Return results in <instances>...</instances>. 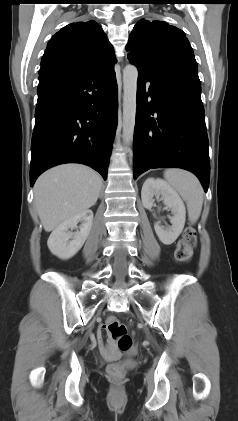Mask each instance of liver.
Wrapping results in <instances>:
<instances>
[{
	"mask_svg": "<svg viewBox=\"0 0 238 421\" xmlns=\"http://www.w3.org/2000/svg\"><path fill=\"white\" fill-rule=\"evenodd\" d=\"M102 187L101 177L80 164H64L44 172L34 186L35 206L45 231L93 206Z\"/></svg>",
	"mask_w": 238,
	"mask_h": 421,
	"instance_id": "liver-1",
	"label": "liver"
}]
</instances>
